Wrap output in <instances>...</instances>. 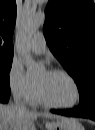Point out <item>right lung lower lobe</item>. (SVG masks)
Instances as JSON below:
<instances>
[{
    "instance_id": "1",
    "label": "right lung lower lobe",
    "mask_w": 95,
    "mask_h": 130,
    "mask_svg": "<svg viewBox=\"0 0 95 130\" xmlns=\"http://www.w3.org/2000/svg\"><path fill=\"white\" fill-rule=\"evenodd\" d=\"M10 97V90H0V102L6 103Z\"/></svg>"
}]
</instances>
